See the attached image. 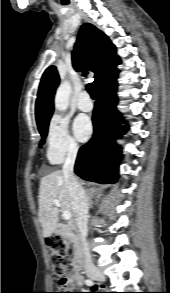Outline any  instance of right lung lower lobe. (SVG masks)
I'll return each mask as SVG.
<instances>
[{
    "mask_svg": "<svg viewBox=\"0 0 170 293\" xmlns=\"http://www.w3.org/2000/svg\"><path fill=\"white\" fill-rule=\"evenodd\" d=\"M118 74L108 78L97 87L98 101L93 113L94 134L78 153L75 173L81 178L97 183H115L121 148L115 140L128 129L120 126L121 113L116 109Z\"/></svg>",
    "mask_w": 170,
    "mask_h": 293,
    "instance_id": "98d812e1",
    "label": "right lung lower lobe"
}]
</instances>
